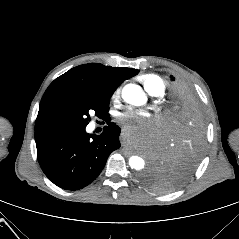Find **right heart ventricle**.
I'll return each instance as SVG.
<instances>
[{"label":"right heart ventricle","instance_id":"1","mask_svg":"<svg viewBox=\"0 0 239 239\" xmlns=\"http://www.w3.org/2000/svg\"><path fill=\"white\" fill-rule=\"evenodd\" d=\"M139 80L143 84L144 88L151 94L164 89V82L162 78L156 74L141 75Z\"/></svg>","mask_w":239,"mask_h":239}]
</instances>
